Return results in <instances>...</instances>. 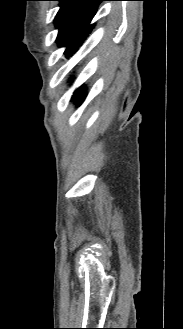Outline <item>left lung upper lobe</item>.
<instances>
[{"label": "left lung upper lobe", "instance_id": "left-lung-upper-lobe-1", "mask_svg": "<svg viewBox=\"0 0 183 329\" xmlns=\"http://www.w3.org/2000/svg\"><path fill=\"white\" fill-rule=\"evenodd\" d=\"M60 9L54 19L59 29L57 42L65 46L64 54L70 56L88 37L95 24H90L99 3L107 0H55Z\"/></svg>", "mask_w": 183, "mask_h": 329}]
</instances>
